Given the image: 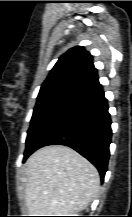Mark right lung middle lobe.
Here are the masks:
<instances>
[{
	"mask_svg": "<svg viewBox=\"0 0 132 217\" xmlns=\"http://www.w3.org/2000/svg\"><path fill=\"white\" fill-rule=\"evenodd\" d=\"M76 98L75 94L61 91L38 95L31 125L27 132L26 150L32 146L57 114Z\"/></svg>",
	"mask_w": 132,
	"mask_h": 217,
	"instance_id": "right-lung-middle-lobe-1",
	"label": "right lung middle lobe"
}]
</instances>
